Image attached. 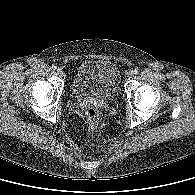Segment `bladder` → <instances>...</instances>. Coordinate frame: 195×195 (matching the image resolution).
Listing matches in <instances>:
<instances>
[{
	"instance_id": "1",
	"label": "bladder",
	"mask_w": 195,
	"mask_h": 195,
	"mask_svg": "<svg viewBox=\"0 0 195 195\" xmlns=\"http://www.w3.org/2000/svg\"><path fill=\"white\" fill-rule=\"evenodd\" d=\"M120 91V72L109 60L83 62L72 81L71 92L79 98L114 99Z\"/></svg>"
}]
</instances>
